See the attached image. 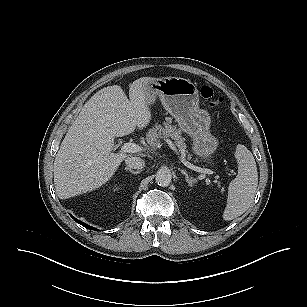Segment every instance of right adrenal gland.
<instances>
[{
    "instance_id": "2a0ac1e0",
    "label": "right adrenal gland",
    "mask_w": 307,
    "mask_h": 307,
    "mask_svg": "<svg viewBox=\"0 0 307 307\" xmlns=\"http://www.w3.org/2000/svg\"><path fill=\"white\" fill-rule=\"evenodd\" d=\"M125 170L126 171H129L130 173H132V174H138L140 171L138 170V171H134V170H132L131 168H129V167H125Z\"/></svg>"
}]
</instances>
